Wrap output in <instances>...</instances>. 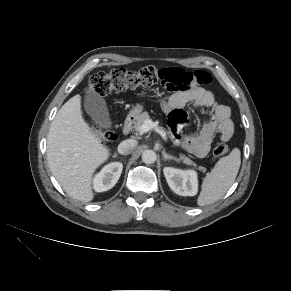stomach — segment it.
Masks as SVG:
<instances>
[{"label":"stomach","mask_w":291,"mask_h":291,"mask_svg":"<svg viewBox=\"0 0 291 291\" xmlns=\"http://www.w3.org/2000/svg\"><path fill=\"white\" fill-rule=\"evenodd\" d=\"M143 110V106L141 104H137L132 110H131V114L133 115H138L141 113V111Z\"/></svg>","instance_id":"1"}]
</instances>
